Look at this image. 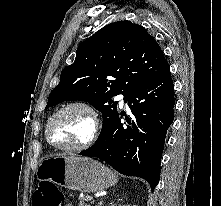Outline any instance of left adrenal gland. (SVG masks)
Masks as SVG:
<instances>
[{"label":"left adrenal gland","mask_w":221,"mask_h":206,"mask_svg":"<svg viewBox=\"0 0 221 206\" xmlns=\"http://www.w3.org/2000/svg\"><path fill=\"white\" fill-rule=\"evenodd\" d=\"M102 204H103V201H101L98 206H101Z\"/></svg>","instance_id":"left-adrenal-gland-1"}]
</instances>
